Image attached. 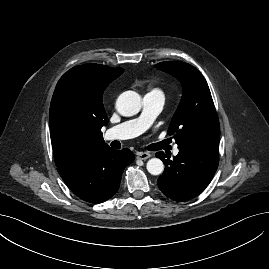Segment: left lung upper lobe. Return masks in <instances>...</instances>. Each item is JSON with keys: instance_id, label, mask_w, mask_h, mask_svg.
<instances>
[{"instance_id": "obj_1", "label": "left lung upper lobe", "mask_w": 269, "mask_h": 269, "mask_svg": "<svg viewBox=\"0 0 269 269\" xmlns=\"http://www.w3.org/2000/svg\"><path fill=\"white\" fill-rule=\"evenodd\" d=\"M156 67L175 76L183 86L181 102L168 128L178 148L198 147L206 141L219 142V120L203 75L180 61L161 62Z\"/></svg>"}]
</instances>
